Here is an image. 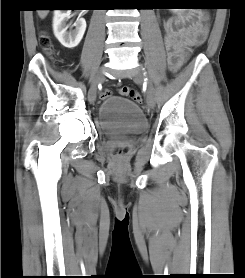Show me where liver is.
Instances as JSON below:
<instances>
[{
  "instance_id": "6515ba94",
  "label": "liver",
  "mask_w": 245,
  "mask_h": 278,
  "mask_svg": "<svg viewBox=\"0 0 245 278\" xmlns=\"http://www.w3.org/2000/svg\"><path fill=\"white\" fill-rule=\"evenodd\" d=\"M37 12L39 17L41 19H44L48 15L49 10H38Z\"/></svg>"
}]
</instances>
